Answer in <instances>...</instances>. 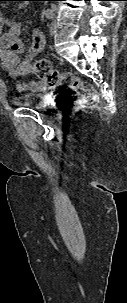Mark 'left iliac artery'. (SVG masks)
<instances>
[{
  "label": "left iliac artery",
  "mask_w": 127,
  "mask_h": 303,
  "mask_svg": "<svg viewBox=\"0 0 127 303\" xmlns=\"http://www.w3.org/2000/svg\"><path fill=\"white\" fill-rule=\"evenodd\" d=\"M45 15H46V17L48 19H53V17H54V10L50 9V8L46 9Z\"/></svg>",
  "instance_id": "1"
}]
</instances>
